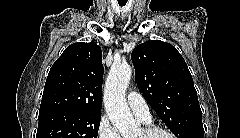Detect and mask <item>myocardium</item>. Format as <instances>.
Masks as SVG:
<instances>
[{"mask_svg":"<svg viewBox=\"0 0 240 138\" xmlns=\"http://www.w3.org/2000/svg\"><path fill=\"white\" fill-rule=\"evenodd\" d=\"M141 130L144 138H150L157 133L163 134L167 138H172V134L168 130L155 124L144 125Z\"/></svg>","mask_w":240,"mask_h":138,"instance_id":"f54148a6","label":"myocardium"}]
</instances>
